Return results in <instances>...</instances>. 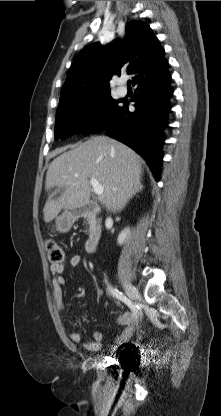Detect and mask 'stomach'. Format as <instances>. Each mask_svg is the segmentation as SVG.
I'll list each match as a JSON object with an SVG mask.
<instances>
[{
    "instance_id": "stomach-1",
    "label": "stomach",
    "mask_w": 221,
    "mask_h": 416,
    "mask_svg": "<svg viewBox=\"0 0 221 416\" xmlns=\"http://www.w3.org/2000/svg\"><path fill=\"white\" fill-rule=\"evenodd\" d=\"M76 220V215L72 212L65 211L62 215L58 216L55 220L56 230L60 233H67L72 227L74 221Z\"/></svg>"
}]
</instances>
